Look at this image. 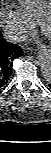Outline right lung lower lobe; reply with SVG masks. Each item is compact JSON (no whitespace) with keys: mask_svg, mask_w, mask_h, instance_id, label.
Instances as JSON below:
<instances>
[{"mask_svg":"<svg viewBox=\"0 0 51 153\" xmlns=\"http://www.w3.org/2000/svg\"><path fill=\"white\" fill-rule=\"evenodd\" d=\"M22 54L18 45L5 41L0 33V87L7 84L12 74V61Z\"/></svg>","mask_w":51,"mask_h":153,"instance_id":"1","label":"right lung lower lobe"}]
</instances>
